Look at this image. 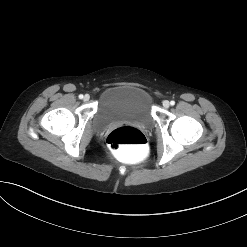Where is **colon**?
Returning a JSON list of instances; mask_svg holds the SVG:
<instances>
[{
	"mask_svg": "<svg viewBox=\"0 0 247 247\" xmlns=\"http://www.w3.org/2000/svg\"><path fill=\"white\" fill-rule=\"evenodd\" d=\"M107 145L119 155H128L142 149L146 144L144 134L133 127L123 126L111 131L107 136Z\"/></svg>",
	"mask_w": 247,
	"mask_h": 247,
	"instance_id": "5ec220e1",
	"label": "colon"
}]
</instances>
